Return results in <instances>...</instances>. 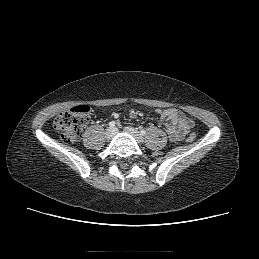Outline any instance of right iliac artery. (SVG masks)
Listing matches in <instances>:
<instances>
[{"label":"right iliac artery","instance_id":"1","mask_svg":"<svg viewBox=\"0 0 259 259\" xmlns=\"http://www.w3.org/2000/svg\"><path fill=\"white\" fill-rule=\"evenodd\" d=\"M115 124H116L115 121H111V122H109V127L113 128L115 126Z\"/></svg>","mask_w":259,"mask_h":259}]
</instances>
